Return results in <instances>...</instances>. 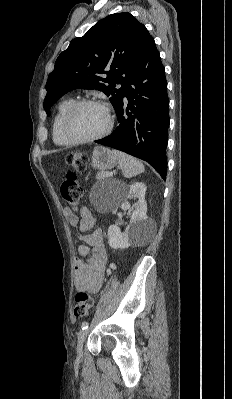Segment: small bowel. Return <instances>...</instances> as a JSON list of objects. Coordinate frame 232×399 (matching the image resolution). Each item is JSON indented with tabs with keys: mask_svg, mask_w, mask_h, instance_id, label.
I'll list each match as a JSON object with an SVG mask.
<instances>
[{
	"mask_svg": "<svg viewBox=\"0 0 232 399\" xmlns=\"http://www.w3.org/2000/svg\"><path fill=\"white\" fill-rule=\"evenodd\" d=\"M81 208L85 215L79 227L81 235L78 252L82 256H87L89 254L88 246L92 247V252L89 263L79 259L74 260L73 286L77 292L89 290L91 293L96 294L101 290L103 284L107 255L103 248L101 229H95L90 235L84 234L86 231L95 227V221L88 215L89 205L87 203H82Z\"/></svg>",
	"mask_w": 232,
	"mask_h": 399,
	"instance_id": "c3829d8e",
	"label": "small bowel"
}]
</instances>
